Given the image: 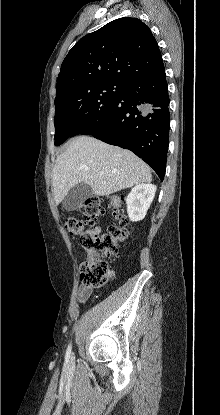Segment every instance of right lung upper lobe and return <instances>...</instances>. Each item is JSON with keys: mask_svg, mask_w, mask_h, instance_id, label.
Segmentation results:
<instances>
[{"mask_svg": "<svg viewBox=\"0 0 220 415\" xmlns=\"http://www.w3.org/2000/svg\"><path fill=\"white\" fill-rule=\"evenodd\" d=\"M149 27L137 18H119L82 37L64 59L56 95L80 83H127L163 67Z\"/></svg>", "mask_w": 220, "mask_h": 415, "instance_id": "right-lung-upper-lobe-1", "label": "right lung upper lobe"}]
</instances>
